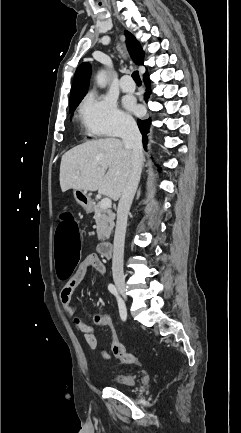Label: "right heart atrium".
Returning a JSON list of instances; mask_svg holds the SVG:
<instances>
[{
  "instance_id": "1",
  "label": "right heart atrium",
  "mask_w": 241,
  "mask_h": 433,
  "mask_svg": "<svg viewBox=\"0 0 241 433\" xmlns=\"http://www.w3.org/2000/svg\"><path fill=\"white\" fill-rule=\"evenodd\" d=\"M79 117L91 136H118L134 130L133 119L107 96L91 93L79 107Z\"/></svg>"
}]
</instances>
